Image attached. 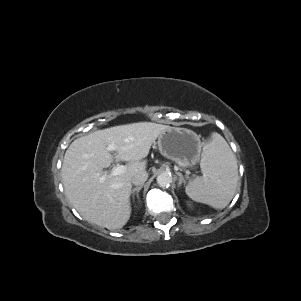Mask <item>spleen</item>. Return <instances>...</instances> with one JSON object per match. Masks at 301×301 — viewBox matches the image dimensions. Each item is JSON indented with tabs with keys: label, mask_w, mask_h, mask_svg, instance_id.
<instances>
[{
	"label": "spleen",
	"mask_w": 301,
	"mask_h": 301,
	"mask_svg": "<svg viewBox=\"0 0 301 301\" xmlns=\"http://www.w3.org/2000/svg\"><path fill=\"white\" fill-rule=\"evenodd\" d=\"M200 167L203 177L186 186V194L194 201L215 209L225 208L232 200L237 183L238 167L234 154L225 139L215 133L204 145Z\"/></svg>",
	"instance_id": "obj_1"
}]
</instances>
